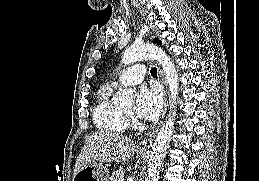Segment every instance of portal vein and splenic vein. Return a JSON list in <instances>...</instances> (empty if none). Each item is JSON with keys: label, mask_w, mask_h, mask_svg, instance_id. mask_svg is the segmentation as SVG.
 <instances>
[{"label": "portal vein and splenic vein", "mask_w": 259, "mask_h": 181, "mask_svg": "<svg viewBox=\"0 0 259 181\" xmlns=\"http://www.w3.org/2000/svg\"><path fill=\"white\" fill-rule=\"evenodd\" d=\"M120 181H124V180H123V178H122V179H120Z\"/></svg>", "instance_id": "1"}]
</instances>
